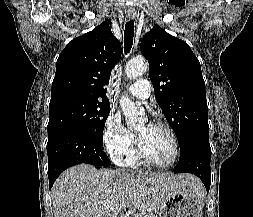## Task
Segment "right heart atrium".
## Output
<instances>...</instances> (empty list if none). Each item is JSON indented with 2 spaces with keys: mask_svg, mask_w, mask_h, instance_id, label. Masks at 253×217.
Masks as SVG:
<instances>
[{
  "mask_svg": "<svg viewBox=\"0 0 253 217\" xmlns=\"http://www.w3.org/2000/svg\"><path fill=\"white\" fill-rule=\"evenodd\" d=\"M103 141L111 158L117 162L127 156L134 144V134L121 122L120 117L110 113L107 117Z\"/></svg>",
  "mask_w": 253,
  "mask_h": 217,
  "instance_id": "d8ad5b80",
  "label": "right heart atrium"
}]
</instances>
